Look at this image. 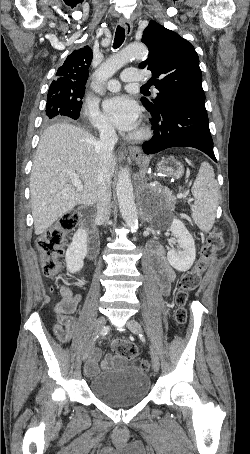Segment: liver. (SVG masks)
<instances>
[{"label": "liver", "instance_id": "6515ba94", "mask_svg": "<svg viewBox=\"0 0 250 454\" xmlns=\"http://www.w3.org/2000/svg\"><path fill=\"white\" fill-rule=\"evenodd\" d=\"M116 166L112 157L111 176ZM98 141L87 131L68 123L48 127L38 144L30 177L35 234L40 235L77 205L98 200ZM78 175L83 190L71 181Z\"/></svg>", "mask_w": 250, "mask_h": 454}]
</instances>
